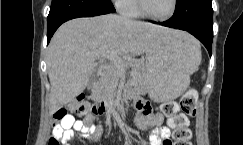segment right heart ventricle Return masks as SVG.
Listing matches in <instances>:
<instances>
[{"label": "right heart ventricle", "mask_w": 243, "mask_h": 145, "mask_svg": "<svg viewBox=\"0 0 243 145\" xmlns=\"http://www.w3.org/2000/svg\"><path fill=\"white\" fill-rule=\"evenodd\" d=\"M123 15L127 17H139L140 13L137 10L135 0H128L127 3L121 8Z\"/></svg>", "instance_id": "obj_1"}]
</instances>
